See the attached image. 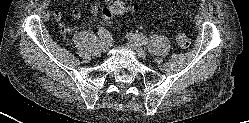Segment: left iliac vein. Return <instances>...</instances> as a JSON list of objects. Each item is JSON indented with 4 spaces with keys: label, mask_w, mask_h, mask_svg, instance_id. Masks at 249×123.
<instances>
[{
    "label": "left iliac vein",
    "mask_w": 249,
    "mask_h": 123,
    "mask_svg": "<svg viewBox=\"0 0 249 123\" xmlns=\"http://www.w3.org/2000/svg\"><path fill=\"white\" fill-rule=\"evenodd\" d=\"M129 45L131 49L140 57V58H145L146 57V52L145 50L141 47V45L137 42V40L132 37L131 35L128 37Z\"/></svg>",
    "instance_id": "4c4485c4"
}]
</instances>
